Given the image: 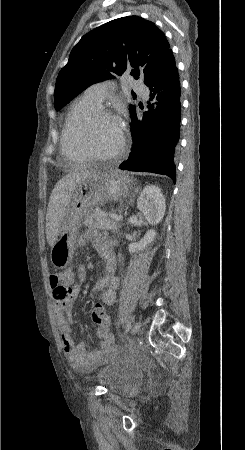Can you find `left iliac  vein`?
I'll list each match as a JSON object with an SVG mask.
<instances>
[{
	"mask_svg": "<svg viewBox=\"0 0 245 450\" xmlns=\"http://www.w3.org/2000/svg\"><path fill=\"white\" fill-rule=\"evenodd\" d=\"M140 327H141V323L136 322L131 330V335L134 336V335L138 334L140 331Z\"/></svg>",
	"mask_w": 245,
	"mask_h": 450,
	"instance_id": "1",
	"label": "left iliac vein"
}]
</instances>
